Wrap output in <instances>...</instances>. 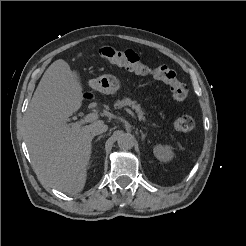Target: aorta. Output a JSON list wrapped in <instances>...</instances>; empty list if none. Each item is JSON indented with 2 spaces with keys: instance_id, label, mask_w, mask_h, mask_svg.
Here are the masks:
<instances>
[{
  "instance_id": "aorta-1",
  "label": "aorta",
  "mask_w": 246,
  "mask_h": 246,
  "mask_svg": "<svg viewBox=\"0 0 246 246\" xmlns=\"http://www.w3.org/2000/svg\"><path fill=\"white\" fill-rule=\"evenodd\" d=\"M117 143L121 149H131L134 145V136L128 132H121L117 136Z\"/></svg>"
}]
</instances>
